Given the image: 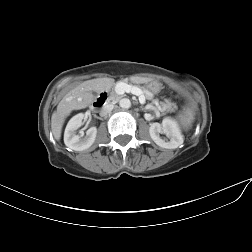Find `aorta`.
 <instances>
[{"instance_id": "762f6f07", "label": "aorta", "mask_w": 252, "mask_h": 252, "mask_svg": "<svg viewBox=\"0 0 252 252\" xmlns=\"http://www.w3.org/2000/svg\"><path fill=\"white\" fill-rule=\"evenodd\" d=\"M120 107L129 109L131 107V101L128 98H123L119 101Z\"/></svg>"}]
</instances>
